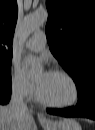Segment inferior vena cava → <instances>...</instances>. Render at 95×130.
<instances>
[{
    "mask_svg": "<svg viewBox=\"0 0 95 130\" xmlns=\"http://www.w3.org/2000/svg\"><path fill=\"white\" fill-rule=\"evenodd\" d=\"M10 108L17 114L28 112L27 105L24 103V96L21 90H14L10 102Z\"/></svg>",
    "mask_w": 95,
    "mask_h": 130,
    "instance_id": "602c4592",
    "label": "inferior vena cava"
}]
</instances>
